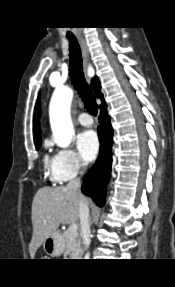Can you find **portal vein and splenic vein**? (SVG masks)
Listing matches in <instances>:
<instances>
[{
	"mask_svg": "<svg viewBox=\"0 0 175 287\" xmlns=\"http://www.w3.org/2000/svg\"><path fill=\"white\" fill-rule=\"evenodd\" d=\"M69 231H71V232H77V224L72 223V224L69 226Z\"/></svg>",
	"mask_w": 175,
	"mask_h": 287,
	"instance_id": "1",
	"label": "portal vein and splenic vein"
}]
</instances>
